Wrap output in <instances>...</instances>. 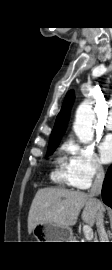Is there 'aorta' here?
<instances>
[{
	"label": "aorta",
	"mask_w": 112,
	"mask_h": 270,
	"mask_svg": "<svg viewBox=\"0 0 112 270\" xmlns=\"http://www.w3.org/2000/svg\"><path fill=\"white\" fill-rule=\"evenodd\" d=\"M95 113L89 101H84L76 111L73 130L81 143H89L94 136L92 125Z\"/></svg>",
	"instance_id": "762f6f07"
}]
</instances>
